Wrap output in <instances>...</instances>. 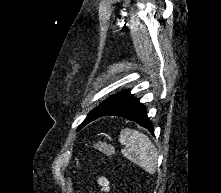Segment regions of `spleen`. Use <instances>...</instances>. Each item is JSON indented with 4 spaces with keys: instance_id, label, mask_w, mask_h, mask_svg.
Segmentation results:
<instances>
[{
    "instance_id": "obj_1",
    "label": "spleen",
    "mask_w": 221,
    "mask_h": 193,
    "mask_svg": "<svg viewBox=\"0 0 221 193\" xmlns=\"http://www.w3.org/2000/svg\"><path fill=\"white\" fill-rule=\"evenodd\" d=\"M119 141L126 147L122 151L126 158L150 174L155 172L158 160L156 148L145 134L126 128L121 130Z\"/></svg>"
}]
</instances>
